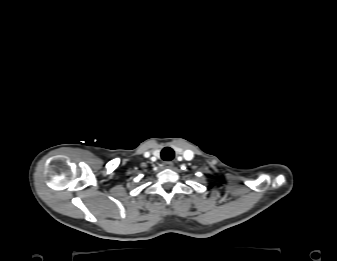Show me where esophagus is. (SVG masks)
<instances>
[{"label":"esophagus","instance_id":"esophagus-1","mask_svg":"<svg viewBox=\"0 0 337 261\" xmlns=\"http://www.w3.org/2000/svg\"><path fill=\"white\" fill-rule=\"evenodd\" d=\"M164 166H165V168H172L173 167V162L172 161L164 162Z\"/></svg>","mask_w":337,"mask_h":261}]
</instances>
